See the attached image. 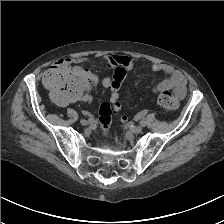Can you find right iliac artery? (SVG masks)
<instances>
[{
    "label": "right iliac artery",
    "instance_id": "obj_1",
    "mask_svg": "<svg viewBox=\"0 0 224 224\" xmlns=\"http://www.w3.org/2000/svg\"><path fill=\"white\" fill-rule=\"evenodd\" d=\"M88 122H89V123H94V122H95V120H94V118H93V117H90V118L88 119Z\"/></svg>",
    "mask_w": 224,
    "mask_h": 224
}]
</instances>
